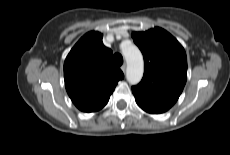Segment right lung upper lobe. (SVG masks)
<instances>
[{
    "label": "right lung upper lobe",
    "instance_id": "obj_1",
    "mask_svg": "<svg viewBox=\"0 0 230 155\" xmlns=\"http://www.w3.org/2000/svg\"><path fill=\"white\" fill-rule=\"evenodd\" d=\"M99 32L85 34L64 62L65 87L75 106L83 112L101 110L109 101L123 72L111 60L112 51Z\"/></svg>",
    "mask_w": 230,
    "mask_h": 155
}]
</instances>
